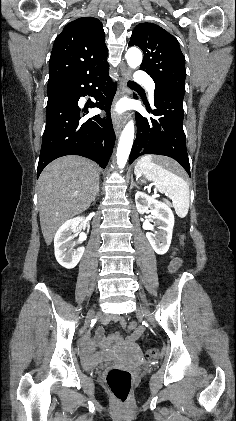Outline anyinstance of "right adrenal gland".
<instances>
[{"label": "right adrenal gland", "instance_id": "2a0ac1e0", "mask_svg": "<svg viewBox=\"0 0 236 421\" xmlns=\"http://www.w3.org/2000/svg\"><path fill=\"white\" fill-rule=\"evenodd\" d=\"M99 192H100V188H99V186H97L96 192H95V194H93V198H92L93 202H95L96 196H100Z\"/></svg>", "mask_w": 236, "mask_h": 421}]
</instances>
